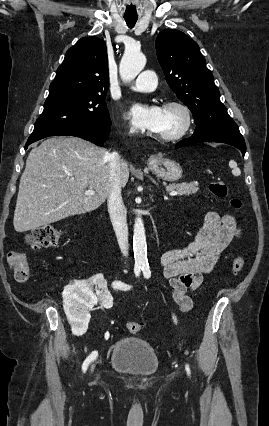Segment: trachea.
Returning a JSON list of instances; mask_svg holds the SVG:
<instances>
[{"label":"trachea","instance_id":"3493384b","mask_svg":"<svg viewBox=\"0 0 269 426\" xmlns=\"http://www.w3.org/2000/svg\"><path fill=\"white\" fill-rule=\"evenodd\" d=\"M129 28H133L137 22V18H124Z\"/></svg>","mask_w":269,"mask_h":426}]
</instances>
